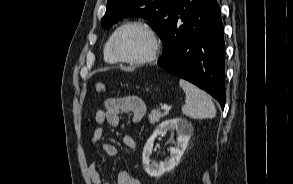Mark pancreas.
<instances>
[{
	"mask_svg": "<svg viewBox=\"0 0 293 184\" xmlns=\"http://www.w3.org/2000/svg\"><path fill=\"white\" fill-rule=\"evenodd\" d=\"M167 115V112L161 113L159 109H153L151 110V113L149 114V121L151 124H154L160 120L161 117Z\"/></svg>",
	"mask_w": 293,
	"mask_h": 184,
	"instance_id": "1",
	"label": "pancreas"
}]
</instances>
